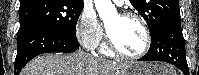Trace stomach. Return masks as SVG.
Segmentation results:
<instances>
[{
  "instance_id": "obj_1",
  "label": "stomach",
  "mask_w": 199,
  "mask_h": 75,
  "mask_svg": "<svg viewBox=\"0 0 199 75\" xmlns=\"http://www.w3.org/2000/svg\"><path fill=\"white\" fill-rule=\"evenodd\" d=\"M166 64L153 62H139L130 64L121 75H170Z\"/></svg>"
}]
</instances>
